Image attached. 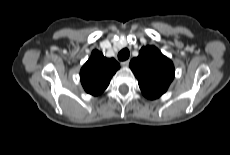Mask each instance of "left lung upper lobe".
<instances>
[{
    "instance_id": "5c2ea615",
    "label": "left lung upper lobe",
    "mask_w": 230,
    "mask_h": 155,
    "mask_svg": "<svg viewBox=\"0 0 230 155\" xmlns=\"http://www.w3.org/2000/svg\"><path fill=\"white\" fill-rule=\"evenodd\" d=\"M143 95L151 100L163 95L174 78V65L155 46L143 47L130 61Z\"/></svg>"
}]
</instances>
